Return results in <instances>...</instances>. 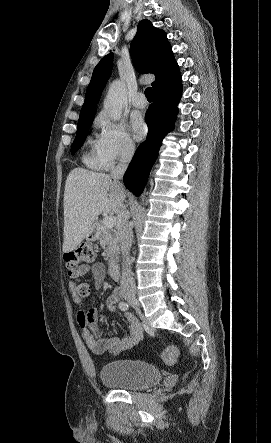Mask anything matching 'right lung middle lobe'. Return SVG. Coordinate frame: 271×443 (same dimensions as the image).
Segmentation results:
<instances>
[{
    "label": "right lung middle lobe",
    "mask_w": 271,
    "mask_h": 443,
    "mask_svg": "<svg viewBox=\"0 0 271 443\" xmlns=\"http://www.w3.org/2000/svg\"><path fill=\"white\" fill-rule=\"evenodd\" d=\"M94 120V116L82 118L78 121L76 138L71 146V153L74 154L84 143L87 132Z\"/></svg>",
    "instance_id": "dd1d6c3e"
}]
</instances>
